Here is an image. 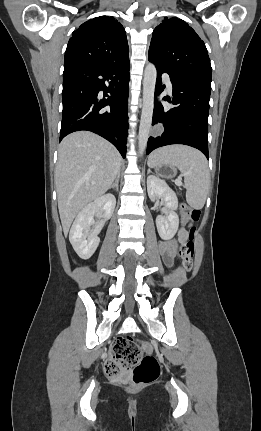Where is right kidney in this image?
<instances>
[{
    "mask_svg": "<svg viewBox=\"0 0 261 431\" xmlns=\"http://www.w3.org/2000/svg\"><path fill=\"white\" fill-rule=\"evenodd\" d=\"M115 206V197L112 194H106L86 205L78 213L70 229L69 240L80 258L89 259L94 254L100 242L98 234L105 221L111 218ZM95 214L100 217L97 222L94 220ZM93 224L95 228L87 233Z\"/></svg>",
    "mask_w": 261,
    "mask_h": 431,
    "instance_id": "obj_1",
    "label": "right kidney"
}]
</instances>
